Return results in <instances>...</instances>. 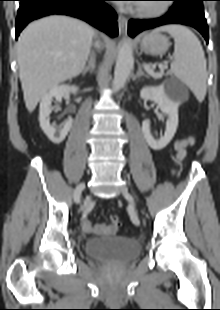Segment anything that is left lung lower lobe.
<instances>
[{
    "mask_svg": "<svg viewBox=\"0 0 220 310\" xmlns=\"http://www.w3.org/2000/svg\"><path fill=\"white\" fill-rule=\"evenodd\" d=\"M174 4L162 17L149 20L132 19L128 24V33L134 37L143 30L155 28L166 24H183L197 29L208 43L209 32L204 17L203 6L194 0H170Z\"/></svg>",
    "mask_w": 220,
    "mask_h": 310,
    "instance_id": "obj_1",
    "label": "left lung lower lobe"
}]
</instances>
